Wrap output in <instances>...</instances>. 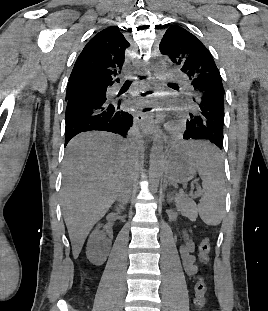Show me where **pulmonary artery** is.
Returning a JSON list of instances; mask_svg holds the SVG:
<instances>
[{"instance_id":"obj_1","label":"pulmonary artery","mask_w":268,"mask_h":311,"mask_svg":"<svg viewBox=\"0 0 268 311\" xmlns=\"http://www.w3.org/2000/svg\"><path fill=\"white\" fill-rule=\"evenodd\" d=\"M168 76L169 77H176V76H179V73L177 72V71H175V70H170L169 72H168Z\"/></svg>"}]
</instances>
